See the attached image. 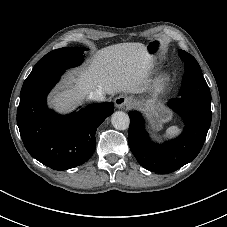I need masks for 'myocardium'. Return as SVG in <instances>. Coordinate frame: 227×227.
Segmentation results:
<instances>
[{"label":"myocardium","mask_w":227,"mask_h":227,"mask_svg":"<svg viewBox=\"0 0 227 227\" xmlns=\"http://www.w3.org/2000/svg\"><path fill=\"white\" fill-rule=\"evenodd\" d=\"M173 77L170 73L161 74L154 82L153 92L154 94H158L164 91L166 88L170 86L172 83Z\"/></svg>","instance_id":"myocardium-1"}]
</instances>
